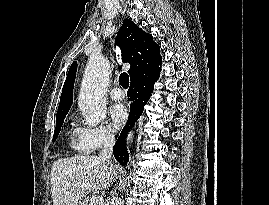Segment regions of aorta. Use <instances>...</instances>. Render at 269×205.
<instances>
[{
	"label": "aorta",
	"instance_id": "aorta-1",
	"mask_svg": "<svg viewBox=\"0 0 269 205\" xmlns=\"http://www.w3.org/2000/svg\"><path fill=\"white\" fill-rule=\"evenodd\" d=\"M110 74L109 62L102 56H92L85 69L78 106L90 126H96L105 119L106 90ZM132 135L129 136V144L132 142ZM110 205H123L120 197H113Z\"/></svg>",
	"mask_w": 269,
	"mask_h": 205
}]
</instances>
